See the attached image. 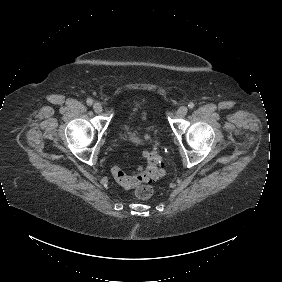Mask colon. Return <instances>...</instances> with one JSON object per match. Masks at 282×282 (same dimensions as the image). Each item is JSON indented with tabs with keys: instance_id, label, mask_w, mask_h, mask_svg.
Instances as JSON below:
<instances>
[{
	"instance_id": "5ec220e1",
	"label": "colon",
	"mask_w": 282,
	"mask_h": 282,
	"mask_svg": "<svg viewBox=\"0 0 282 282\" xmlns=\"http://www.w3.org/2000/svg\"><path fill=\"white\" fill-rule=\"evenodd\" d=\"M149 142L153 141L152 135H147ZM146 165L144 169L134 175H127L119 165H113L111 167V174L116 182L125 189H131L136 183L141 180H152V182L161 175L162 168V157L158 147L152 144L151 147L144 153ZM154 194V187H142L136 190L134 196L140 200H148Z\"/></svg>"
}]
</instances>
